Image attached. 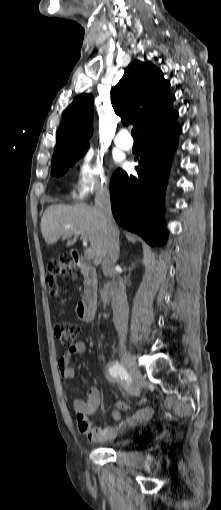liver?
I'll list each match as a JSON object with an SVG mask.
<instances>
[{
  "mask_svg": "<svg viewBox=\"0 0 221 510\" xmlns=\"http://www.w3.org/2000/svg\"><path fill=\"white\" fill-rule=\"evenodd\" d=\"M41 231L45 242L50 245L56 243L63 235L69 238L67 247L74 245L78 235L84 233L90 242V248L94 251V265L98 266L103 261L108 236L101 211L96 206L51 205L42 216Z\"/></svg>",
  "mask_w": 221,
  "mask_h": 510,
  "instance_id": "1",
  "label": "liver"
}]
</instances>
